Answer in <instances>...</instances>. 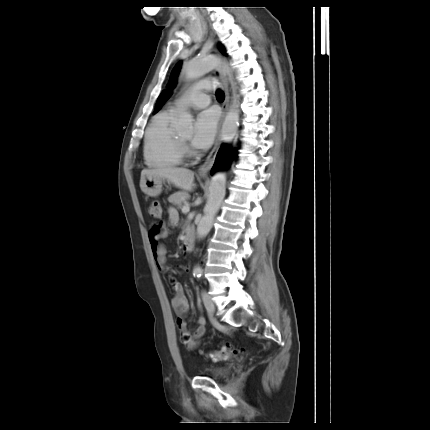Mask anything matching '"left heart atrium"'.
Segmentation results:
<instances>
[{"mask_svg": "<svg viewBox=\"0 0 430 430\" xmlns=\"http://www.w3.org/2000/svg\"><path fill=\"white\" fill-rule=\"evenodd\" d=\"M218 124V113L214 109L201 112L196 120L192 145L198 149L209 147L216 134Z\"/></svg>", "mask_w": 430, "mask_h": 430, "instance_id": "left-heart-atrium-1", "label": "left heart atrium"}]
</instances>
